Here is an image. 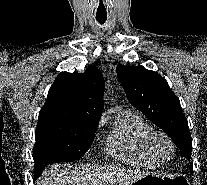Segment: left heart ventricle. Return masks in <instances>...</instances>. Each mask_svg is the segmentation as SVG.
<instances>
[{
  "mask_svg": "<svg viewBox=\"0 0 207 185\" xmlns=\"http://www.w3.org/2000/svg\"><path fill=\"white\" fill-rule=\"evenodd\" d=\"M157 147L159 151L164 155V156H169L171 153V147L170 145L162 139L157 140Z\"/></svg>",
  "mask_w": 207,
  "mask_h": 185,
  "instance_id": "1",
  "label": "left heart ventricle"
}]
</instances>
